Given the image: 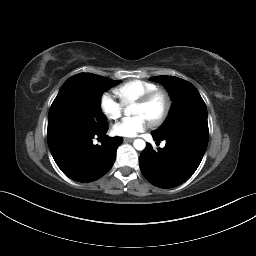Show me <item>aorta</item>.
Instances as JSON below:
<instances>
[{"mask_svg": "<svg viewBox=\"0 0 256 256\" xmlns=\"http://www.w3.org/2000/svg\"><path fill=\"white\" fill-rule=\"evenodd\" d=\"M132 108H133V105L128 106V107L125 109V111H124L125 115H127V116L131 115V114H132ZM133 146H134V148H135L136 150L142 151V150L145 149L146 143H145V141H144L143 139H136V140H134V142H133Z\"/></svg>", "mask_w": 256, "mask_h": 256, "instance_id": "1", "label": "aorta"}]
</instances>
